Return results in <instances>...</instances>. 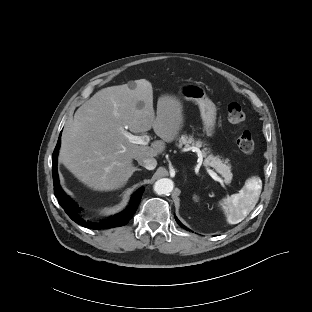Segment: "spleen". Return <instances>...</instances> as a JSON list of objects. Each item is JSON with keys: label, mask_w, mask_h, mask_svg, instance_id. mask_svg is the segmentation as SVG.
<instances>
[{"label": "spleen", "mask_w": 312, "mask_h": 312, "mask_svg": "<svg viewBox=\"0 0 312 312\" xmlns=\"http://www.w3.org/2000/svg\"><path fill=\"white\" fill-rule=\"evenodd\" d=\"M261 192L260 179H253L249 188L236 194L233 199L228 201L226 207L227 221L229 224L241 222L255 207Z\"/></svg>", "instance_id": "3e777b00"}]
</instances>
